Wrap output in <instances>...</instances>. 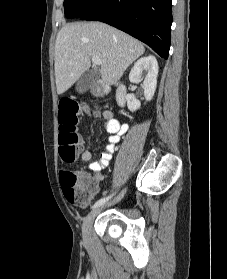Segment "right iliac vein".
I'll list each match as a JSON object with an SVG mask.
<instances>
[{
    "label": "right iliac vein",
    "instance_id": "right-iliac-vein-1",
    "mask_svg": "<svg viewBox=\"0 0 227 279\" xmlns=\"http://www.w3.org/2000/svg\"><path fill=\"white\" fill-rule=\"evenodd\" d=\"M127 189H124L119 195L118 197L110 202L108 205H112L118 201H120L125 193H126ZM103 206L102 207H97L95 209H93L88 215L87 217L85 218L84 220V223H83V230H82V234H83V239L85 241L86 244H89L90 241H91V229H92V225H93V222L96 218V216L100 213V211L102 210Z\"/></svg>",
    "mask_w": 227,
    "mask_h": 279
}]
</instances>
